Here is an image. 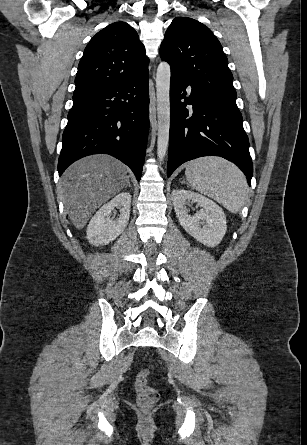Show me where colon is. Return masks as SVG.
<instances>
[{
    "mask_svg": "<svg viewBox=\"0 0 307 445\" xmlns=\"http://www.w3.org/2000/svg\"><path fill=\"white\" fill-rule=\"evenodd\" d=\"M150 371L143 369L135 378V392L138 403L145 408L152 407L159 399L158 391L149 385Z\"/></svg>",
    "mask_w": 307,
    "mask_h": 445,
    "instance_id": "colon-1",
    "label": "colon"
}]
</instances>
